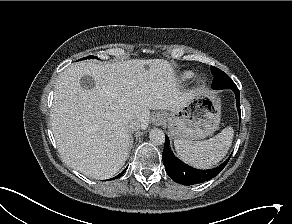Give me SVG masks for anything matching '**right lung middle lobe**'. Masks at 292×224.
Segmentation results:
<instances>
[{
  "label": "right lung middle lobe",
  "instance_id": "1",
  "mask_svg": "<svg viewBox=\"0 0 292 224\" xmlns=\"http://www.w3.org/2000/svg\"><path fill=\"white\" fill-rule=\"evenodd\" d=\"M91 58H97V57H95V56H88V57H85V58H83V59H81V60H84V59H91Z\"/></svg>",
  "mask_w": 292,
  "mask_h": 224
}]
</instances>
